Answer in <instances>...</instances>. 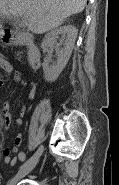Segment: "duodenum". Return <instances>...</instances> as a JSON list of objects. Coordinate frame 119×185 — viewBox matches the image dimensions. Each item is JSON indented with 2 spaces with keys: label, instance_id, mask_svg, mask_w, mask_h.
Returning a JSON list of instances; mask_svg holds the SVG:
<instances>
[{
  "label": "duodenum",
  "instance_id": "duodenum-1",
  "mask_svg": "<svg viewBox=\"0 0 119 185\" xmlns=\"http://www.w3.org/2000/svg\"><path fill=\"white\" fill-rule=\"evenodd\" d=\"M4 41L10 45H24L28 50V63L33 70L41 65V53L32 35L14 30L4 32Z\"/></svg>",
  "mask_w": 119,
  "mask_h": 185
}]
</instances>
